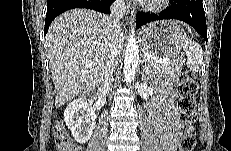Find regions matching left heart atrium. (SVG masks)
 Segmentation results:
<instances>
[{"label": "left heart atrium", "instance_id": "left-heart-atrium-1", "mask_svg": "<svg viewBox=\"0 0 231 151\" xmlns=\"http://www.w3.org/2000/svg\"><path fill=\"white\" fill-rule=\"evenodd\" d=\"M146 0H138L137 2H140V3H142V2H145Z\"/></svg>", "mask_w": 231, "mask_h": 151}]
</instances>
